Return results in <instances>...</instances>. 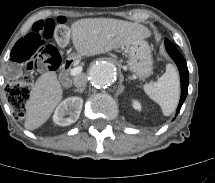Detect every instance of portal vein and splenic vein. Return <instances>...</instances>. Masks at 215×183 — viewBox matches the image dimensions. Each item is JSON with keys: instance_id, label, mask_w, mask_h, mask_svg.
Here are the masks:
<instances>
[{"instance_id": "portal-vein-and-splenic-vein-1", "label": "portal vein and splenic vein", "mask_w": 215, "mask_h": 183, "mask_svg": "<svg viewBox=\"0 0 215 183\" xmlns=\"http://www.w3.org/2000/svg\"><path fill=\"white\" fill-rule=\"evenodd\" d=\"M81 72H82V67L81 66H77V67L72 68L70 70V75L71 76H76V75L80 74Z\"/></svg>"}]
</instances>
